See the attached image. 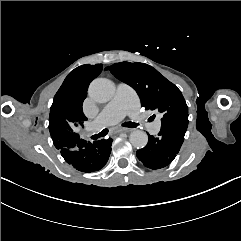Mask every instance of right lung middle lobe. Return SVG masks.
<instances>
[{
	"mask_svg": "<svg viewBox=\"0 0 241 241\" xmlns=\"http://www.w3.org/2000/svg\"><path fill=\"white\" fill-rule=\"evenodd\" d=\"M101 71L100 64H86L75 68L67 77L76 85L89 86L90 82L97 77Z\"/></svg>",
	"mask_w": 241,
	"mask_h": 241,
	"instance_id": "obj_1",
	"label": "right lung middle lobe"
}]
</instances>
